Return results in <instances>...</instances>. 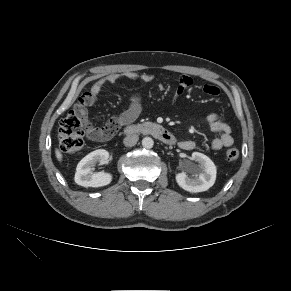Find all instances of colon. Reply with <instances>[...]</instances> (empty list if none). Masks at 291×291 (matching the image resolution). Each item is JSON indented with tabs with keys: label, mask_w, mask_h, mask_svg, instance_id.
I'll list each match as a JSON object with an SVG mask.
<instances>
[{
	"label": "colon",
	"mask_w": 291,
	"mask_h": 291,
	"mask_svg": "<svg viewBox=\"0 0 291 291\" xmlns=\"http://www.w3.org/2000/svg\"><path fill=\"white\" fill-rule=\"evenodd\" d=\"M93 102L90 93L83 94L78 101L76 109L70 111L61 121L59 127V144L65 153H75L81 150L84 144V136L89 133L85 108ZM110 135H114L119 128V123L112 118L107 124ZM226 160L229 162L236 161L239 158V150L230 147L225 153Z\"/></svg>",
	"instance_id": "5ec220e1"
}]
</instances>
